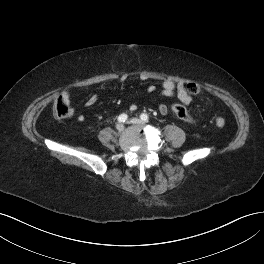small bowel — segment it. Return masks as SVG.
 Listing matches in <instances>:
<instances>
[{"label": "small bowel", "mask_w": 264, "mask_h": 264, "mask_svg": "<svg viewBox=\"0 0 264 264\" xmlns=\"http://www.w3.org/2000/svg\"><path fill=\"white\" fill-rule=\"evenodd\" d=\"M147 77L146 76H141V80H146ZM127 80V76H122L120 78V82L124 83ZM162 87V91H161V95L163 97H172V96H177V98L185 105L190 104V102L192 101V98L190 96V94L187 92L184 83L182 82H178L175 83L172 80H164L161 84ZM156 87L154 85H150L148 87V92L149 93H153L155 91ZM60 98H62L63 100H65L67 103L70 102V93L67 91L62 92ZM97 102V96L96 95H91L85 102L86 106H92ZM136 108L135 105H131L130 109L134 110ZM158 111L161 114H166L168 111V108L165 104H160L158 106ZM84 116L83 115H78L77 116V120L79 122H83L84 121Z\"/></svg>", "instance_id": "small-bowel-1"}]
</instances>
